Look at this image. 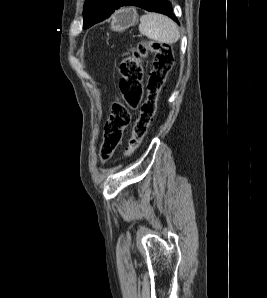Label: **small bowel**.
Returning a JSON list of instances; mask_svg holds the SVG:
<instances>
[{"instance_id":"obj_1","label":"small bowel","mask_w":267,"mask_h":298,"mask_svg":"<svg viewBox=\"0 0 267 298\" xmlns=\"http://www.w3.org/2000/svg\"><path fill=\"white\" fill-rule=\"evenodd\" d=\"M120 106L127 107L130 113V117H129V121H130L132 119V112L135 110V108L126 106L125 103L119 97H115L114 103H113V109Z\"/></svg>"}]
</instances>
